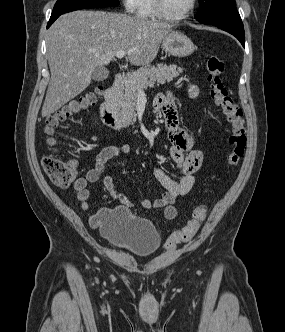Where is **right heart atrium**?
I'll list each match as a JSON object with an SVG mask.
<instances>
[{"label": "right heart atrium", "instance_id": "right-heart-atrium-1", "mask_svg": "<svg viewBox=\"0 0 285 332\" xmlns=\"http://www.w3.org/2000/svg\"><path fill=\"white\" fill-rule=\"evenodd\" d=\"M138 0H122L125 10L129 13H133L136 10Z\"/></svg>", "mask_w": 285, "mask_h": 332}]
</instances>
